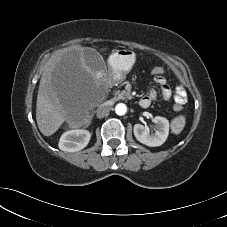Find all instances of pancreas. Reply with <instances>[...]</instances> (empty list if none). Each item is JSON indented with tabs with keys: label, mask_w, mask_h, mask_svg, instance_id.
<instances>
[{
	"label": "pancreas",
	"mask_w": 227,
	"mask_h": 227,
	"mask_svg": "<svg viewBox=\"0 0 227 227\" xmlns=\"http://www.w3.org/2000/svg\"><path fill=\"white\" fill-rule=\"evenodd\" d=\"M129 99V95L127 92L125 91H117L115 93V96L113 98V101H117V100H126Z\"/></svg>",
	"instance_id": "obj_1"
}]
</instances>
